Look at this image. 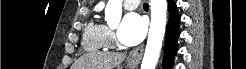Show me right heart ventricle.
Returning a JSON list of instances; mask_svg holds the SVG:
<instances>
[{"label":"right heart ventricle","mask_w":246,"mask_h":69,"mask_svg":"<svg viewBox=\"0 0 246 69\" xmlns=\"http://www.w3.org/2000/svg\"><path fill=\"white\" fill-rule=\"evenodd\" d=\"M111 38L108 27L92 20L88 23L83 34V48L86 51H100L110 47Z\"/></svg>","instance_id":"obj_1"}]
</instances>
